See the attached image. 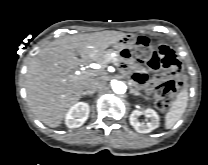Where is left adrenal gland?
Here are the masks:
<instances>
[{
  "label": "left adrenal gland",
  "mask_w": 208,
  "mask_h": 165,
  "mask_svg": "<svg viewBox=\"0 0 208 165\" xmlns=\"http://www.w3.org/2000/svg\"><path fill=\"white\" fill-rule=\"evenodd\" d=\"M130 92L134 95H140V93L138 91H136L135 89H131Z\"/></svg>",
  "instance_id": "a2214340"
}]
</instances>
